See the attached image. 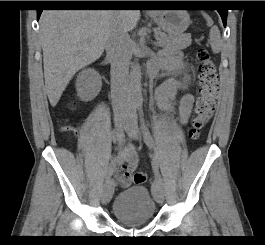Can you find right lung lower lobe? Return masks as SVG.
Instances as JSON below:
<instances>
[{
	"label": "right lung lower lobe",
	"instance_id": "obj_1",
	"mask_svg": "<svg viewBox=\"0 0 265 245\" xmlns=\"http://www.w3.org/2000/svg\"><path fill=\"white\" fill-rule=\"evenodd\" d=\"M51 6H79V7H118L122 1H81L80 3H53ZM42 9L37 10V19L40 18Z\"/></svg>",
	"mask_w": 265,
	"mask_h": 245
}]
</instances>
